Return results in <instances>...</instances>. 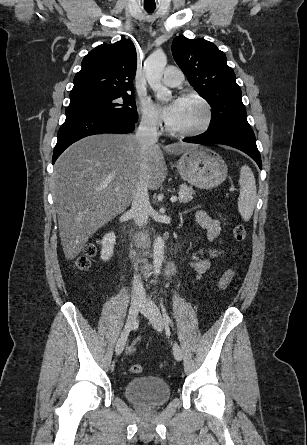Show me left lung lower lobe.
Wrapping results in <instances>:
<instances>
[{
  "label": "left lung lower lobe",
  "mask_w": 307,
  "mask_h": 445,
  "mask_svg": "<svg viewBox=\"0 0 307 445\" xmlns=\"http://www.w3.org/2000/svg\"><path fill=\"white\" fill-rule=\"evenodd\" d=\"M184 142L201 144H224L237 148L248 154L262 169L260 153L251 128L227 126L216 130H208L198 136L183 139Z\"/></svg>",
  "instance_id": "0a47b994"
}]
</instances>
